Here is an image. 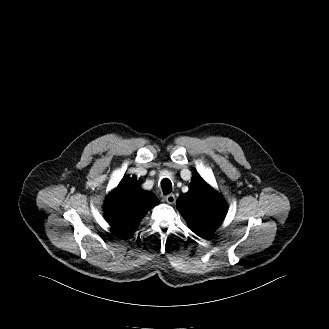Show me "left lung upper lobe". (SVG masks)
<instances>
[{"instance_id": "left-lung-upper-lobe-1", "label": "left lung upper lobe", "mask_w": 329, "mask_h": 329, "mask_svg": "<svg viewBox=\"0 0 329 329\" xmlns=\"http://www.w3.org/2000/svg\"><path fill=\"white\" fill-rule=\"evenodd\" d=\"M176 207L189 228L203 238L223 222L227 213L224 200L199 174L193 176L189 191L179 196Z\"/></svg>"}]
</instances>
